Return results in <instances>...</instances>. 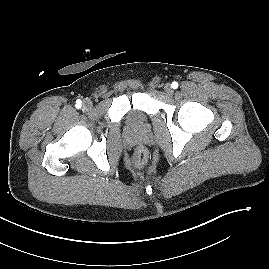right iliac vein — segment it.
Returning <instances> with one entry per match:
<instances>
[{"label": "right iliac vein", "instance_id": "1", "mask_svg": "<svg viewBox=\"0 0 269 269\" xmlns=\"http://www.w3.org/2000/svg\"><path fill=\"white\" fill-rule=\"evenodd\" d=\"M92 106H93V104H92V101H91V100H89V99H85V100L83 101L82 108H83L84 110H89V109L92 108Z\"/></svg>", "mask_w": 269, "mask_h": 269}]
</instances>
